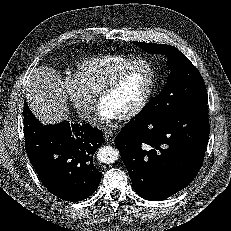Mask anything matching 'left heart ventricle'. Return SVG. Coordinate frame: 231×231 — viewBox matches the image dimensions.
<instances>
[{"label": "left heart ventricle", "instance_id": "obj_1", "mask_svg": "<svg viewBox=\"0 0 231 231\" xmlns=\"http://www.w3.org/2000/svg\"><path fill=\"white\" fill-rule=\"evenodd\" d=\"M150 80L149 68L146 65H138L126 74L117 88L102 100V104L107 105L119 117L142 99Z\"/></svg>", "mask_w": 231, "mask_h": 231}]
</instances>
